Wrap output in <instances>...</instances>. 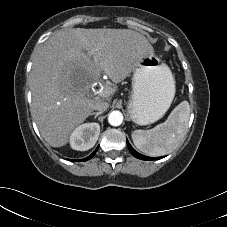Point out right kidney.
I'll return each mask as SVG.
<instances>
[{"instance_id":"ca27d5eb","label":"right kidney","mask_w":227,"mask_h":227,"mask_svg":"<svg viewBox=\"0 0 227 227\" xmlns=\"http://www.w3.org/2000/svg\"><path fill=\"white\" fill-rule=\"evenodd\" d=\"M100 125L98 123H85L71 133L70 145L74 150L86 151L92 148L99 137Z\"/></svg>"}]
</instances>
